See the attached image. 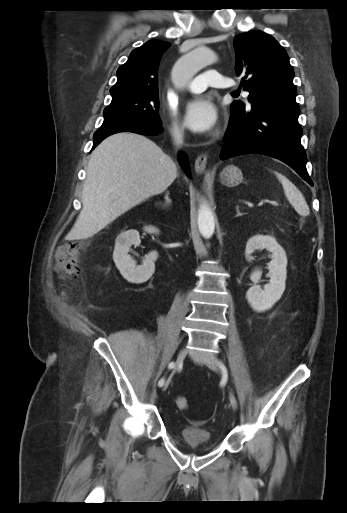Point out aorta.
<instances>
[{
	"label": "aorta",
	"mask_w": 347,
	"mask_h": 513,
	"mask_svg": "<svg viewBox=\"0 0 347 513\" xmlns=\"http://www.w3.org/2000/svg\"><path fill=\"white\" fill-rule=\"evenodd\" d=\"M218 61L217 56L207 47L200 46L180 57L174 64L171 77L173 84L184 88L202 68ZM198 226L205 238H210L215 230V220L210 208L203 204L198 211Z\"/></svg>",
	"instance_id": "1"
}]
</instances>
